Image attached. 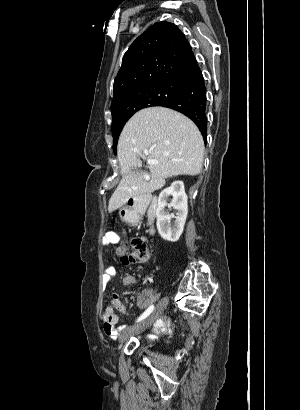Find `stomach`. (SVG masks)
<instances>
[{
  "label": "stomach",
  "mask_w": 300,
  "mask_h": 410,
  "mask_svg": "<svg viewBox=\"0 0 300 410\" xmlns=\"http://www.w3.org/2000/svg\"><path fill=\"white\" fill-rule=\"evenodd\" d=\"M128 212H129V210L123 208V209L120 210L119 214H120L121 216H124V215H126Z\"/></svg>",
  "instance_id": "stomach-1"
}]
</instances>
